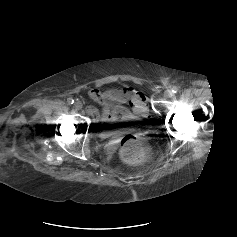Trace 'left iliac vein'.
Listing matches in <instances>:
<instances>
[{
    "mask_svg": "<svg viewBox=\"0 0 237 237\" xmlns=\"http://www.w3.org/2000/svg\"><path fill=\"white\" fill-rule=\"evenodd\" d=\"M164 95H165V97L170 98V97L173 96V93H172L171 90L168 89V90L165 91Z\"/></svg>",
    "mask_w": 237,
    "mask_h": 237,
    "instance_id": "left-iliac-vein-1",
    "label": "left iliac vein"
}]
</instances>
